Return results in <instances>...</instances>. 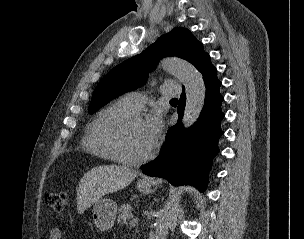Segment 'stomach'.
I'll list each match as a JSON object with an SVG mask.
<instances>
[{
    "instance_id": "obj_1",
    "label": "stomach",
    "mask_w": 304,
    "mask_h": 239,
    "mask_svg": "<svg viewBox=\"0 0 304 239\" xmlns=\"http://www.w3.org/2000/svg\"><path fill=\"white\" fill-rule=\"evenodd\" d=\"M137 187L143 194H149L152 191V186L148 182L140 181ZM116 214L117 204L112 199L103 198L94 203L92 218L100 231H106L112 228Z\"/></svg>"
}]
</instances>
